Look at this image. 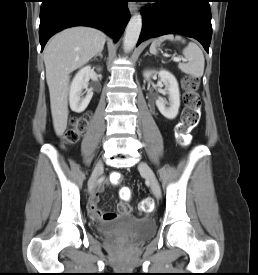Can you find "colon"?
I'll use <instances>...</instances> for the list:
<instances>
[{
  "instance_id": "5ec220e1",
  "label": "colon",
  "mask_w": 258,
  "mask_h": 275,
  "mask_svg": "<svg viewBox=\"0 0 258 275\" xmlns=\"http://www.w3.org/2000/svg\"><path fill=\"white\" fill-rule=\"evenodd\" d=\"M184 90V104L185 108L182 113V119L177 127V137L180 143L188 142L190 132L197 126L200 120L201 99L197 92L198 80L194 77H185L182 81ZM88 125V116L82 115L71 120V127L66 130L64 140L68 144L76 143ZM111 181L114 184H121L123 175L121 173H113ZM120 196L123 199L130 197V189L123 187L120 191ZM154 207L151 198H144L140 204L139 209L143 213L152 211Z\"/></svg>"
}]
</instances>
